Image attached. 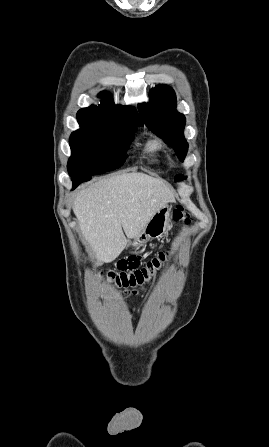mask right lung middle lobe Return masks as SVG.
Returning a JSON list of instances; mask_svg holds the SVG:
<instances>
[{
	"instance_id": "right-lung-middle-lobe-1",
	"label": "right lung middle lobe",
	"mask_w": 269,
	"mask_h": 447,
	"mask_svg": "<svg viewBox=\"0 0 269 447\" xmlns=\"http://www.w3.org/2000/svg\"><path fill=\"white\" fill-rule=\"evenodd\" d=\"M79 124L80 129L70 137L72 156L67 167L70 176L83 178V181L122 166L127 158L126 150L134 139V132L137 126H142L80 120Z\"/></svg>"
}]
</instances>
